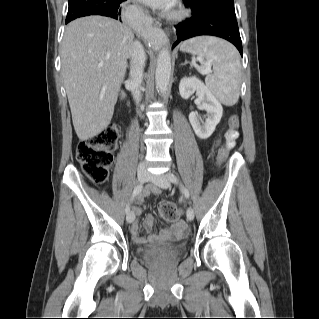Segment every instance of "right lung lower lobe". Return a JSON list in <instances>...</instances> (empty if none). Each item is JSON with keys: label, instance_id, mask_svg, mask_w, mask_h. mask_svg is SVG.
<instances>
[{"label": "right lung lower lobe", "instance_id": "98d812e1", "mask_svg": "<svg viewBox=\"0 0 319 319\" xmlns=\"http://www.w3.org/2000/svg\"><path fill=\"white\" fill-rule=\"evenodd\" d=\"M125 0H112L111 2H105L98 4L84 12L77 14L76 18L89 16V15H102L108 16L114 19L121 20V8H119L120 3ZM71 20H66V23L70 22Z\"/></svg>", "mask_w": 319, "mask_h": 319}]
</instances>
